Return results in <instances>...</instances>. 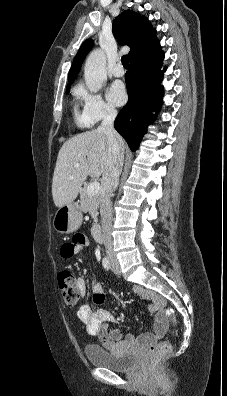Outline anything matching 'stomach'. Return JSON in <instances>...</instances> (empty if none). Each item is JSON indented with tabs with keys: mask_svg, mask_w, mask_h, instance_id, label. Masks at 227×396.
<instances>
[{
	"mask_svg": "<svg viewBox=\"0 0 227 396\" xmlns=\"http://www.w3.org/2000/svg\"><path fill=\"white\" fill-rule=\"evenodd\" d=\"M82 223V214L77 203L60 207L53 219L54 229L62 234L76 231Z\"/></svg>",
	"mask_w": 227,
	"mask_h": 396,
	"instance_id": "obj_1",
	"label": "stomach"
}]
</instances>
